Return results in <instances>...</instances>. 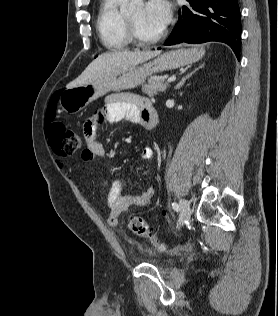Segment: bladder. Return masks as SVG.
Here are the masks:
<instances>
[{"mask_svg":"<svg viewBox=\"0 0 278 316\" xmlns=\"http://www.w3.org/2000/svg\"><path fill=\"white\" fill-rule=\"evenodd\" d=\"M149 264L157 267L159 270H166L168 269V267L170 266V261H158V260H151V261H148Z\"/></svg>","mask_w":278,"mask_h":316,"instance_id":"bladder-1","label":"bladder"}]
</instances>
